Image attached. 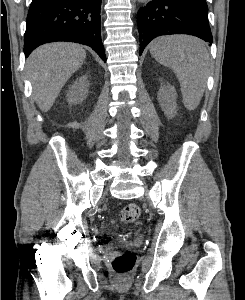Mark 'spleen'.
Listing matches in <instances>:
<instances>
[{
	"mask_svg": "<svg viewBox=\"0 0 245 300\" xmlns=\"http://www.w3.org/2000/svg\"><path fill=\"white\" fill-rule=\"evenodd\" d=\"M149 48L156 61L172 68L180 82L185 107L194 110L203 96L209 66L204 44L195 37L176 35L159 37Z\"/></svg>",
	"mask_w": 245,
	"mask_h": 300,
	"instance_id": "1",
	"label": "spleen"
}]
</instances>
